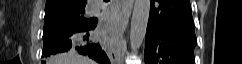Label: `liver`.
Listing matches in <instances>:
<instances>
[{
	"mask_svg": "<svg viewBox=\"0 0 242 64\" xmlns=\"http://www.w3.org/2000/svg\"><path fill=\"white\" fill-rule=\"evenodd\" d=\"M49 62V64H96L92 59L74 53L56 55Z\"/></svg>",
	"mask_w": 242,
	"mask_h": 64,
	"instance_id": "1",
	"label": "liver"
}]
</instances>
